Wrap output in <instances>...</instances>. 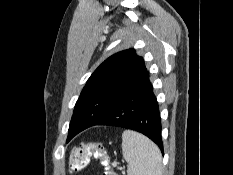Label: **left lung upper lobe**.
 I'll return each mask as SVG.
<instances>
[{
    "instance_id": "5c2ea615",
    "label": "left lung upper lobe",
    "mask_w": 233,
    "mask_h": 175,
    "mask_svg": "<svg viewBox=\"0 0 233 175\" xmlns=\"http://www.w3.org/2000/svg\"><path fill=\"white\" fill-rule=\"evenodd\" d=\"M147 69L134 49L106 59L90 76L75 105L67 142L90 127Z\"/></svg>"
}]
</instances>
